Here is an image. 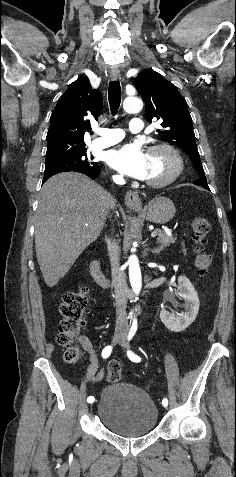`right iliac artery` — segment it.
I'll use <instances>...</instances> for the list:
<instances>
[{"instance_id":"82829eb1","label":"right iliac artery","mask_w":236,"mask_h":477,"mask_svg":"<svg viewBox=\"0 0 236 477\" xmlns=\"http://www.w3.org/2000/svg\"><path fill=\"white\" fill-rule=\"evenodd\" d=\"M111 352H112V346H111V345L106 346V347L102 350V357H103L104 359L108 358V357L110 356ZM87 403H88L89 405H93V404L96 403V400H95V398H94L93 396H89V397L87 398Z\"/></svg>"}]
</instances>
